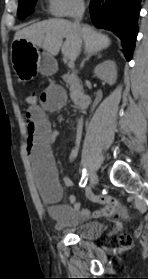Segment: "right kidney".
Listing matches in <instances>:
<instances>
[{
  "label": "right kidney",
  "mask_w": 148,
  "mask_h": 279,
  "mask_svg": "<svg viewBox=\"0 0 148 279\" xmlns=\"http://www.w3.org/2000/svg\"><path fill=\"white\" fill-rule=\"evenodd\" d=\"M95 75L107 82L109 85H113L117 79V67L114 61L106 60L98 64L94 69Z\"/></svg>",
  "instance_id": "right-kidney-1"
}]
</instances>
